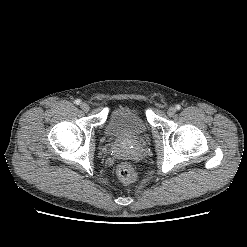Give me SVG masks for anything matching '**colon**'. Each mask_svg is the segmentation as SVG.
<instances>
[{"mask_svg": "<svg viewBox=\"0 0 247 247\" xmlns=\"http://www.w3.org/2000/svg\"><path fill=\"white\" fill-rule=\"evenodd\" d=\"M117 175L119 179L126 184L134 183L137 177L133 167L125 162L117 166Z\"/></svg>", "mask_w": 247, "mask_h": 247, "instance_id": "5ec220e1", "label": "colon"}]
</instances>
